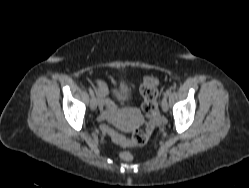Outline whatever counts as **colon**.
Instances as JSON below:
<instances>
[{"label": "colon", "mask_w": 249, "mask_h": 188, "mask_svg": "<svg viewBox=\"0 0 249 188\" xmlns=\"http://www.w3.org/2000/svg\"><path fill=\"white\" fill-rule=\"evenodd\" d=\"M158 82L156 77L147 76L144 78L140 88L143 97L142 110L146 117L144 129L134 131L130 138H126L117 133L109 126H102V132L122 146L145 145L155 129L158 120ZM120 158L125 161H130L132 156L128 152H122L120 153Z\"/></svg>", "instance_id": "5ec220e1"}]
</instances>
